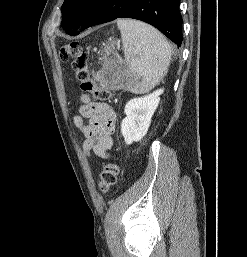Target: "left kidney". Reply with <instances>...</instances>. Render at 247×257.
Returning a JSON list of instances; mask_svg holds the SVG:
<instances>
[{
	"label": "left kidney",
	"mask_w": 247,
	"mask_h": 257,
	"mask_svg": "<svg viewBox=\"0 0 247 257\" xmlns=\"http://www.w3.org/2000/svg\"><path fill=\"white\" fill-rule=\"evenodd\" d=\"M163 89L143 97L133 98L125 105L126 117L121 123V133L126 144L140 141L147 133L151 118L160 102Z\"/></svg>",
	"instance_id": "5707ae66"
}]
</instances>
